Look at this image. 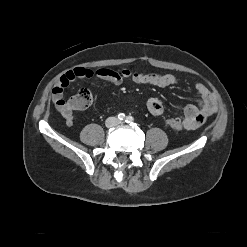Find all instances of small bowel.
<instances>
[{
    "instance_id": "1",
    "label": "small bowel",
    "mask_w": 247,
    "mask_h": 247,
    "mask_svg": "<svg viewBox=\"0 0 247 247\" xmlns=\"http://www.w3.org/2000/svg\"><path fill=\"white\" fill-rule=\"evenodd\" d=\"M94 77L107 81L115 86H120L127 80L135 84H149L158 87H166L176 82L175 77L171 74L134 72L131 69L114 71L108 68H99L96 70L83 67L74 68L62 75L52 90L53 103L67 125L70 126L74 122V109L70 101L64 100V90L71 82L77 79H89ZM195 89L199 94L198 103L188 104L184 108L181 117V122L186 129L198 128L207 118L217 111V102L212 91L202 83H196ZM147 108L154 116L161 115L164 111L162 102L156 97L148 99Z\"/></svg>"
}]
</instances>
